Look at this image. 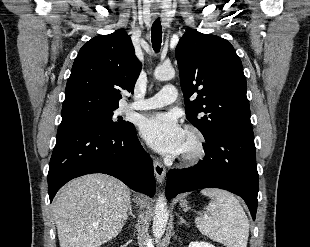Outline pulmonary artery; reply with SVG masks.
Here are the masks:
<instances>
[{"label": "pulmonary artery", "instance_id": "e3ab8cb5", "mask_svg": "<svg viewBox=\"0 0 310 247\" xmlns=\"http://www.w3.org/2000/svg\"><path fill=\"white\" fill-rule=\"evenodd\" d=\"M177 99V90L173 85H165L156 95L126 105V110H149L170 104Z\"/></svg>", "mask_w": 310, "mask_h": 247}]
</instances>
